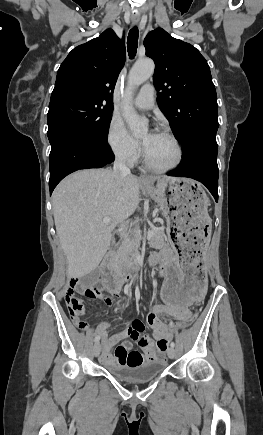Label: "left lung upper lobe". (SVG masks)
Instances as JSON below:
<instances>
[{"instance_id":"5c2ea615","label":"left lung upper lobe","mask_w":263,"mask_h":435,"mask_svg":"<svg viewBox=\"0 0 263 435\" xmlns=\"http://www.w3.org/2000/svg\"><path fill=\"white\" fill-rule=\"evenodd\" d=\"M144 45L155 62L157 103L182 146L196 135L216 133L217 95L205 58L161 28L149 32Z\"/></svg>"}]
</instances>
